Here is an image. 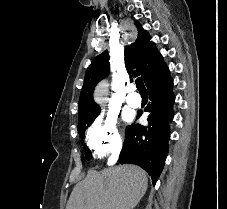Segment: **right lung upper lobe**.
<instances>
[{
  "label": "right lung upper lobe",
  "instance_id": "obj_1",
  "mask_svg": "<svg viewBox=\"0 0 227 209\" xmlns=\"http://www.w3.org/2000/svg\"><path fill=\"white\" fill-rule=\"evenodd\" d=\"M135 25L138 36L135 43L125 48V67L129 73H133V68H137L133 76L140 75L146 84L164 62L155 44L149 41V34L142 29L138 21H135ZM108 74L109 55L104 51L93 59L86 71L79 99V117L99 114L100 108L93 101V90L96 84Z\"/></svg>",
  "mask_w": 227,
  "mask_h": 209
}]
</instances>
